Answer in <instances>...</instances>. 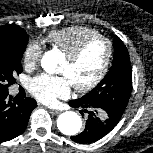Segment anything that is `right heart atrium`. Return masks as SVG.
<instances>
[{
    "label": "right heart atrium",
    "instance_id": "1",
    "mask_svg": "<svg viewBox=\"0 0 153 153\" xmlns=\"http://www.w3.org/2000/svg\"><path fill=\"white\" fill-rule=\"evenodd\" d=\"M42 56V46L38 41H31L26 46L23 53L24 64L27 68L36 67Z\"/></svg>",
    "mask_w": 153,
    "mask_h": 153
}]
</instances>
